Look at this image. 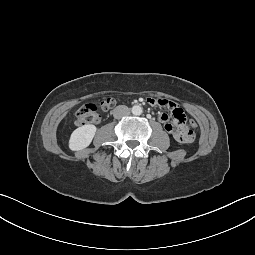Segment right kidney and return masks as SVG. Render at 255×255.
I'll use <instances>...</instances> for the list:
<instances>
[{
	"instance_id": "1",
	"label": "right kidney",
	"mask_w": 255,
	"mask_h": 255,
	"mask_svg": "<svg viewBox=\"0 0 255 255\" xmlns=\"http://www.w3.org/2000/svg\"><path fill=\"white\" fill-rule=\"evenodd\" d=\"M96 130V126L92 124L77 128L71 134L69 148L73 151H78L88 147L95 136Z\"/></svg>"
}]
</instances>
